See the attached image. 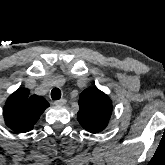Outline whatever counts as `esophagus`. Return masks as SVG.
<instances>
[{"label":"esophagus","instance_id":"obj_1","mask_svg":"<svg viewBox=\"0 0 165 165\" xmlns=\"http://www.w3.org/2000/svg\"><path fill=\"white\" fill-rule=\"evenodd\" d=\"M65 102H66L65 99H60V100L54 101L53 104L54 105H64Z\"/></svg>","mask_w":165,"mask_h":165}]
</instances>
